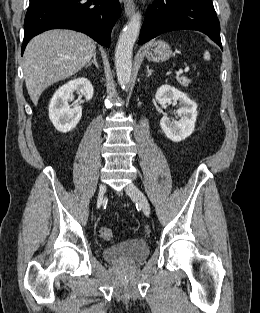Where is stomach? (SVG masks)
I'll return each mask as SVG.
<instances>
[{
    "mask_svg": "<svg viewBox=\"0 0 260 313\" xmlns=\"http://www.w3.org/2000/svg\"><path fill=\"white\" fill-rule=\"evenodd\" d=\"M145 53L152 61L163 62L171 57L172 50L167 42L163 40H157L150 42L146 46Z\"/></svg>",
    "mask_w": 260,
    "mask_h": 313,
    "instance_id": "stomach-1",
    "label": "stomach"
}]
</instances>
